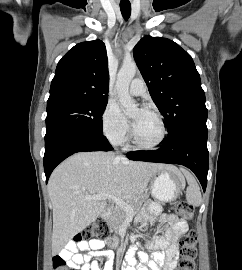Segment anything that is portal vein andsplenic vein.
I'll use <instances>...</instances> for the list:
<instances>
[{
	"mask_svg": "<svg viewBox=\"0 0 242 270\" xmlns=\"http://www.w3.org/2000/svg\"><path fill=\"white\" fill-rule=\"evenodd\" d=\"M86 199L88 200H113L117 206H119L120 208H122L128 215H134V210L131 207V205H129L128 202L124 201L123 199L114 196V195H110V194H96V195H88L86 196Z\"/></svg>",
	"mask_w": 242,
	"mask_h": 270,
	"instance_id": "obj_1",
	"label": "portal vein and splenic vein"
}]
</instances>
